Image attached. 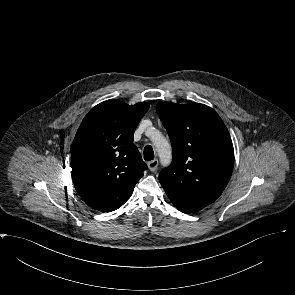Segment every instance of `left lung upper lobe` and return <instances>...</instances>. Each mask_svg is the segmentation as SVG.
Here are the masks:
<instances>
[{"mask_svg": "<svg viewBox=\"0 0 295 295\" xmlns=\"http://www.w3.org/2000/svg\"><path fill=\"white\" fill-rule=\"evenodd\" d=\"M156 110L173 151L159 181L178 210L200 211L222 194L231 177L234 150L228 130L204 104L161 102Z\"/></svg>", "mask_w": 295, "mask_h": 295, "instance_id": "5c2ea615", "label": "left lung upper lobe"}]
</instances>
